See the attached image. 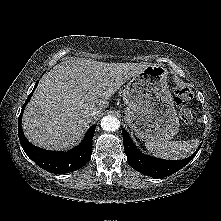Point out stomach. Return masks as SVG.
<instances>
[{
  "label": "stomach",
  "instance_id": "1",
  "mask_svg": "<svg viewBox=\"0 0 221 221\" xmlns=\"http://www.w3.org/2000/svg\"><path fill=\"white\" fill-rule=\"evenodd\" d=\"M125 120L135 135L146 142L172 139L179 132V118L168 85V71L148 65L124 87Z\"/></svg>",
  "mask_w": 221,
  "mask_h": 221
}]
</instances>
